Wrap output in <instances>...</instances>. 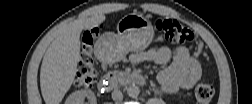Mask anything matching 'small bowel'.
I'll list each match as a JSON object with an SVG mask.
<instances>
[{"label": "small bowel", "mask_w": 252, "mask_h": 104, "mask_svg": "<svg viewBox=\"0 0 252 104\" xmlns=\"http://www.w3.org/2000/svg\"><path fill=\"white\" fill-rule=\"evenodd\" d=\"M130 61L132 63L149 61L160 66L167 65L171 61L170 65L161 70L157 77L162 92L166 94L190 89L201 76L198 61L184 46H176L172 49L166 46L153 47L147 51L132 54Z\"/></svg>", "instance_id": "obj_1"}]
</instances>
